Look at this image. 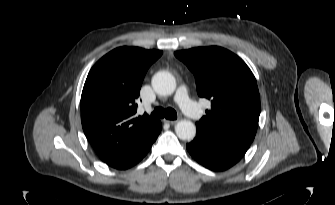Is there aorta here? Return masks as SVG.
Masks as SVG:
<instances>
[{
  "mask_svg": "<svg viewBox=\"0 0 335 205\" xmlns=\"http://www.w3.org/2000/svg\"><path fill=\"white\" fill-rule=\"evenodd\" d=\"M152 87L159 95H171L176 89V80L168 71H159L152 78ZM179 139L191 141L196 135V127L189 120H181L175 126Z\"/></svg>",
  "mask_w": 335,
  "mask_h": 205,
  "instance_id": "obj_1",
  "label": "aorta"
}]
</instances>
